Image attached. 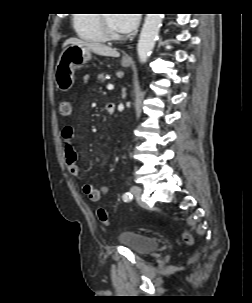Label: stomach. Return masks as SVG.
<instances>
[{"mask_svg": "<svg viewBox=\"0 0 252 303\" xmlns=\"http://www.w3.org/2000/svg\"><path fill=\"white\" fill-rule=\"evenodd\" d=\"M90 59L91 52L85 46L71 44L65 47L55 67L54 79L57 88L64 92L70 90L75 81V69ZM121 64L123 67H129L130 61L123 59Z\"/></svg>", "mask_w": 252, "mask_h": 303, "instance_id": "stomach-1", "label": "stomach"}]
</instances>
